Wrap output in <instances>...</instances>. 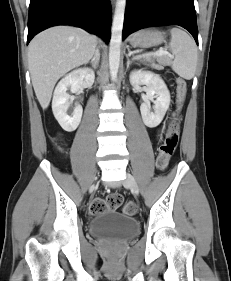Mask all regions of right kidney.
Returning a JSON list of instances; mask_svg holds the SVG:
<instances>
[{
	"label": "right kidney",
	"mask_w": 231,
	"mask_h": 281,
	"mask_svg": "<svg viewBox=\"0 0 231 281\" xmlns=\"http://www.w3.org/2000/svg\"><path fill=\"white\" fill-rule=\"evenodd\" d=\"M94 79L95 75L92 70L80 68L67 74L57 84L52 100V111L56 120L65 131L72 132L76 130L83 113L82 106L77 104L71 116L67 114V110L70 107V95L66 91L69 88L72 93H75L81 88L91 87Z\"/></svg>",
	"instance_id": "1"
}]
</instances>
